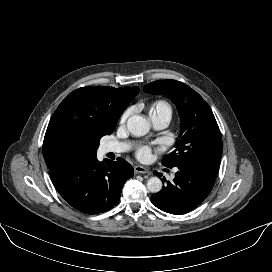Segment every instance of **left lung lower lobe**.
Wrapping results in <instances>:
<instances>
[{
	"label": "left lung lower lobe",
	"mask_w": 272,
	"mask_h": 272,
	"mask_svg": "<svg viewBox=\"0 0 272 272\" xmlns=\"http://www.w3.org/2000/svg\"><path fill=\"white\" fill-rule=\"evenodd\" d=\"M172 182L166 181L161 191L151 196L152 203L171 214H186L199 206L211 192L215 178L205 173L178 166ZM155 175L160 177L158 172Z\"/></svg>",
	"instance_id": "obj_1"
}]
</instances>
